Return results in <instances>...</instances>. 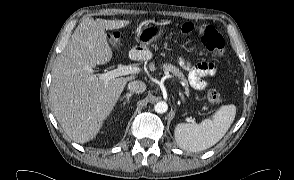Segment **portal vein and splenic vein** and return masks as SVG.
Here are the masks:
<instances>
[{
  "mask_svg": "<svg viewBox=\"0 0 294 180\" xmlns=\"http://www.w3.org/2000/svg\"><path fill=\"white\" fill-rule=\"evenodd\" d=\"M138 72L139 68L137 67L118 65L116 69L99 74L98 77L107 84L110 80L116 77L134 74ZM189 121L194 122L195 120L190 117Z\"/></svg>",
  "mask_w": 294,
  "mask_h": 180,
  "instance_id": "18ae733b",
  "label": "portal vein and splenic vein"
}]
</instances>
